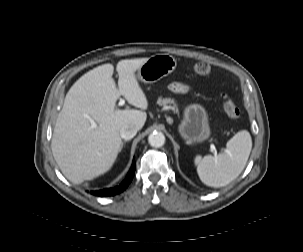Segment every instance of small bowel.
I'll return each instance as SVG.
<instances>
[{"label":"small bowel","instance_id":"obj_1","mask_svg":"<svg viewBox=\"0 0 303 252\" xmlns=\"http://www.w3.org/2000/svg\"><path fill=\"white\" fill-rule=\"evenodd\" d=\"M169 89L176 94H186L190 92L191 90V85L186 84V83H181V82H172L169 85Z\"/></svg>","mask_w":303,"mask_h":252}]
</instances>
